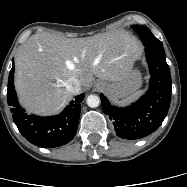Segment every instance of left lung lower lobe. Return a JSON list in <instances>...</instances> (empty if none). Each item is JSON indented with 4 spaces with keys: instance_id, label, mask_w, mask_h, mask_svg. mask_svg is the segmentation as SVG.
Returning <instances> with one entry per match:
<instances>
[{
    "instance_id": "1",
    "label": "left lung lower lobe",
    "mask_w": 187,
    "mask_h": 187,
    "mask_svg": "<svg viewBox=\"0 0 187 187\" xmlns=\"http://www.w3.org/2000/svg\"><path fill=\"white\" fill-rule=\"evenodd\" d=\"M146 47V46H145ZM150 71L148 91L135 103L119 108L101 94L102 109L107 114L117 136L140 139L157 130L165 119L171 102V75L162 49L145 48Z\"/></svg>"
}]
</instances>
